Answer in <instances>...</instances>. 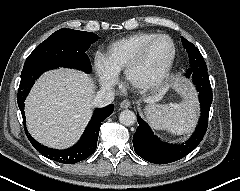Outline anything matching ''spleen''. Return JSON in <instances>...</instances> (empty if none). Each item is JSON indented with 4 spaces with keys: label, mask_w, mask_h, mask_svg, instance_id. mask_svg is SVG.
<instances>
[{
    "label": "spleen",
    "mask_w": 240,
    "mask_h": 191,
    "mask_svg": "<svg viewBox=\"0 0 240 191\" xmlns=\"http://www.w3.org/2000/svg\"><path fill=\"white\" fill-rule=\"evenodd\" d=\"M148 119L155 129L168 130L177 135L188 133L194 126L191 120L181 118L167 107L150 112Z\"/></svg>",
    "instance_id": "spleen-1"
}]
</instances>
